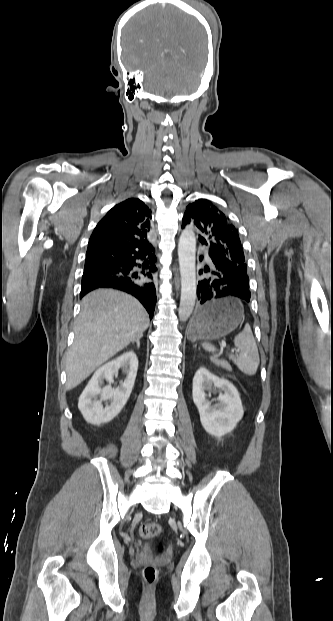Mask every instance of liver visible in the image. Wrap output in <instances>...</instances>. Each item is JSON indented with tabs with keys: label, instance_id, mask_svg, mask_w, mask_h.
<instances>
[{
	"label": "liver",
	"instance_id": "obj_1",
	"mask_svg": "<svg viewBox=\"0 0 333 621\" xmlns=\"http://www.w3.org/2000/svg\"><path fill=\"white\" fill-rule=\"evenodd\" d=\"M149 317L138 300L112 289L87 294L66 353L67 389L75 388L101 364L143 336Z\"/></svg>",
	"mask_w": 333,
	"mask_h": 621
}]
</instances>
